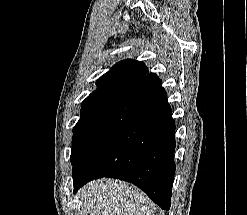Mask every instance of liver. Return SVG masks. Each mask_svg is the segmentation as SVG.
I'll list each match as a JSON object with an SVG mask.
<instances>
[{
    "mask_svg": "<svg viewBox=\"0 0 247 215\" xmlns=\"http://www.w3.org/2000/svg\"><path fill=\"white\" fill-rule=\"evenodd\" d=\"M79 196L90 215H153L146 195L123 182L96 180L81 188Z\"/></svg>",
    "mask_w": 247,
    "mask_h": 215,
    "instance_id": "1",
    "label": "liver"
}]
</instances>
